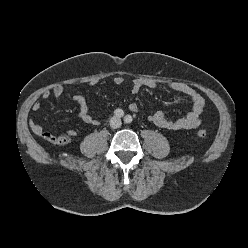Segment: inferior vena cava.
<instances>
[{"label":"inferior vena cava","mask_w":248,"mask_h":248,"mask_svg":"<svg viewBox=\"0 0 248 248\" xmlns=\"http://www.w3.org/2000/svg\"><path fill=\"white\" fill-rule=\"evenodd\" d=\"M121 124L122 122L119 118H116V117L111 118V121H110L111 128L113 129L119 128Z\"/></svg>","instance_id":"602c4592"}]
</instances>
